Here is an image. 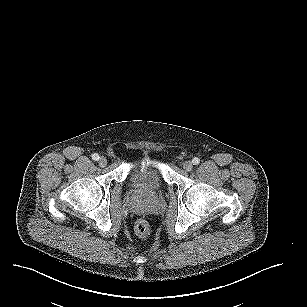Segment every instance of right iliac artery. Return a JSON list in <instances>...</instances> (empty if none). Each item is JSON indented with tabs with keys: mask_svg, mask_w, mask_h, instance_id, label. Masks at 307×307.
<instances>
[{
	"mask_svg": "<svg viewBox=\"0 0 307 307\" xmlns=\"http://www.w3.org/2000/svg\"><path fill=\"white\" fill-rule=\"evenodd\" d=\"M99 155L97 154V153H94L93 155H92V159L94 160V161H98L99 160Z\"/></svg>",
	"mask_w": 307,
	"mask_h": 307,
	"instance_id": "1",
	"label": "right iliac artery"
}]
</instances>
